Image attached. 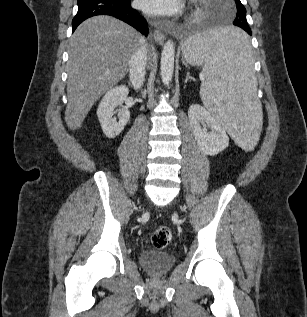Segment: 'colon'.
<instances>
[{"mask_svg":"<svg viewBox=\"0 0 307 317\" xmlns=\"http://www.w3.org/2000/svg\"><path fill=\"white\" fill-rule=\"evenodd\" d=\"M172 241V232L166 226L157 227L151 237V242L154 248L158 250L165 249Z\"/></svg>","mask_w":307,"mask_h":317,"instance_id":"obj_1","label":"colon"}]
</instances>
